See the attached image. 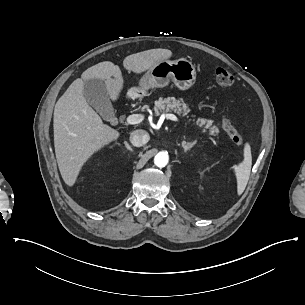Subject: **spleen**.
<instances>
[{
  "instance_id": "obj_1",
  "label": "spleen",
  "mask_w": 305,
  "mask_h": 305,
  "mask_svg": "<svg viewBox=\"0 0 305 305\" xmlns=\"http://www.w3.org/2000/svg\"><path fill=\"white\" fill-rule=\"evenodd\" d=\"M252 165L251 148L248 143L244 146V160L239 165H234L233 169L237 178V192L241 195L248 183Z\"/></svg>"
}]
</instances>
